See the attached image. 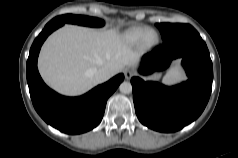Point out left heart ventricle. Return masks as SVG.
I'll use <instances>...</instances> for the list:
<instances>
[{
  "label": "left heart ventricle",
  "mask_w": 238,
  "mask_h": 158,
  "mask_svg": "<svg viewBox=\"0 0 238 158\" xmlns=\"http://www.w3.org/2000/svg\"><path fill=\"white\" fill-rule=\"evenodd\" d=\"M154 38V35L153 34H150L149 35V39L151 40V39H153Z\"/></svg>",
  "instance_id": "b2bd125f"
}]
</instances>
